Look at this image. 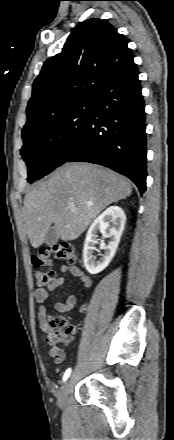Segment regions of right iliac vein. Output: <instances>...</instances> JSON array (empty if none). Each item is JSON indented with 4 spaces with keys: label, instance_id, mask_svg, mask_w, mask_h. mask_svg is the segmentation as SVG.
Segmentation results:
<instances>
[{
    "label": "right iliac vein",
    "instance_id": "right-iliac-vein-1",
    "mask_svg": "<svg viewBox=\"0 0 174 440\" xmlns=\"http://www.w3.org/2000/svg\"><path fill=\"white\" fill-rule=\"evenodd\" d=\"M71 387H72L71 379H68V380H66V382L62 386L61 391L59 393L57 404H58V407L62 410L65 409V407H66V401H67L68 394L71 390Z\"/></svg>",
    "mask_w": 174,
    "mask_h": 440
}]
</instances>
